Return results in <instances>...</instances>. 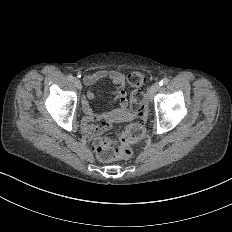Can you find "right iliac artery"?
Instances as JSON below:
<instances>
[{
	"label": "right iliac artery",
	"instance_id": "right-iliac-artery-1",
	"mask_svg": "<svg viewBox=\"0 0 232 232\" xmlns=\"http://www.w3.org/2000/svg\"><path fill=\"white\" fill-rule=\"evenodd\" d=\"M67 78H68V80H69V81H73V80H74V77H73L71 74H70V75H68V77H67Z\"/></svg>",
	"mask_w": 232,
	"mask_h": 232
}]
</instances>
